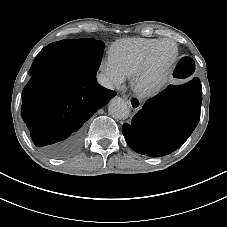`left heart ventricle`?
<instances>
[{
    "mask_svg": "<svg viewBox=\"0 0 227 227\" xmlns=\"http://www.w3.org/2000/svg\"><path fill=\"white\" fill-rule=\"evenodd\" d=\"M175 54V47L172 43L162 44L154 57V60L149 69L140 77L143 84H149L159 77L165 69L169 61Z\"/></svg>",
    "mask_w": 227,
    "mask_h": 227,
    "instance_id": "obj_1",
    "label": "left heart ventricle"
}]
</instances>
